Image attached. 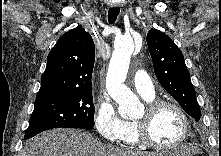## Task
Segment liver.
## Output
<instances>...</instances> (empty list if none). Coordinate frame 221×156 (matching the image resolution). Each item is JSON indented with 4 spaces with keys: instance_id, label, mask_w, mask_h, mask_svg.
Instances as JSON below:
<instances>
[{
    "instance_id": "obj_1",
    "label": "liver",
    "mask_w": 221,
    "mask_h": 156,
    "mask_svg": "<svg viewBox=\"0 0 221 156\" xmlns=\"http://www.w3.org/2000/svg\"><path fill=\"white\" fill-rule=\"evenodd\" d=\"M184 155L199 152L195 147H184ZM21 156H151L149 153L122 149L95 140L84 131L53 129L28 140Z\"/></svg>"
}]
</instances>
